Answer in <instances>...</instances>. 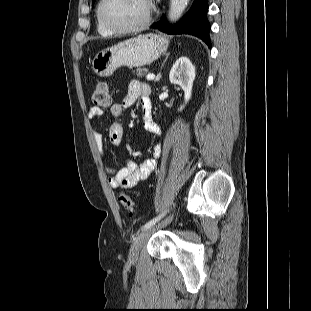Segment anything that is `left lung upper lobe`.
Wrapping results in <instances>:
<instances>
[{
    "instance_id": "5c2ea615",
    "label": "left lung upper lobe",
    "mask_w": 311,
    "mask_h": 311,
    "mask_svg": "<svg viewBox=\"0 0 311 311\" xmlns=\"http://www.w3.org/2000/svg\"><path fill=\"white\" fill-rule=\"evenodd\" d=\"M96 0H92V5L95 3Z\"/></svg>"
}]
</instances>
